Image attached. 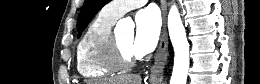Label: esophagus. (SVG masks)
Wrapping results in <instances>:
<instances>
[{"mask_svg": "<svg viewBox=\"0 0 260 84\" xmlns=\"http://www.w3.org/2000/svg\"><path fill=\"white\" fill-rule=\"evenodd\" d=\"M166 0L160 1L161 11H162V30L159 41V46L154 56V63L150 69V80L159 83L164 78V68L168 56V33L166 27V14L167 5Z\"/></svg>", "mask_w": 260, "mask_h": 84, "instance_id": "obj_1", "label": "esophagus"}]
</instances>
